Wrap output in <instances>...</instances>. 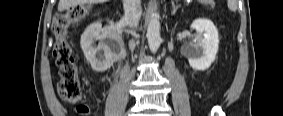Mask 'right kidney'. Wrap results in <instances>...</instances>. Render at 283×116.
Returning a JSON list of instances; mask_svg holds the SVG:
<instances>
[{
	"label": "right kidney",
	"mask_w": 283,
	"mask_h": 116,
	"mask_svg": "<svg viewBox=\"0 0 283 116\" xmlns=\"http://www.w3.org/2000/svg\"><path fill=\"white\" fill-rule=\"evenodd\" d=\"M96 41H99L98 45ZM80 45L86 60L96 72L106 71L122 48L120 37L111 29H102L100 22L89 25L81 35Z\"/></svg>",
	"instance_id": "1"
}]
</instances>
